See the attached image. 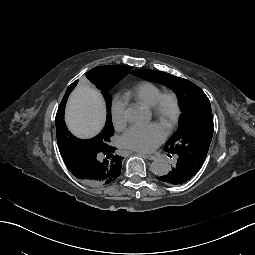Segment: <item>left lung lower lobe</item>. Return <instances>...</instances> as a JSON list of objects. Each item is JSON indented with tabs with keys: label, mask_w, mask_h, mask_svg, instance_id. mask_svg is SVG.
I'll list each match as a JSON object with an SVG mask.
<instances>
[{
	"label": "left lung lower lobe",
	"mask_w": 255,
	"mask_h": 255,
	"mask_svg": "<svg viewBox=\"0 0 255 255\" xmlns=\"http://www.w3.org/2000/svg\"><path fill=\"white\" fill-rule=\"evenodd\" d=\"M196 177V169L192 165L176 159L172 164V171L165 176L160 174L158 179L165 184L185 186L189 180Z\"/></svg>",
	"instance_id": "0a47b994"
}]
</instances>
